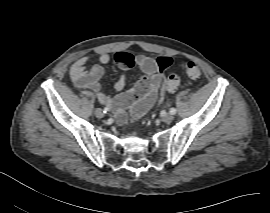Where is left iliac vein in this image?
<instances>
[{"label": "left iliac vein", "mask_w": 270, "mask_h": 213, "mask_svg": "<svg viewBox=\"0 0 270 213\" xmlns=\"http://www.w3.org/2000/svg\"><path fill=\"white\" fill-rule=\"evenodd\" d=\"M174 117L172 114L170 113H167L163 116L162 120L165 122V123H171L173 121Z\"/></svg>", "instance_id": "1"}]
</instances>
